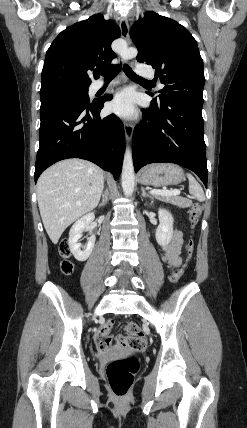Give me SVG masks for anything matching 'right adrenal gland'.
Masks as SVG:
<instances>
[{"label":"right adrenal gland","mask_w":247,"mask_h":428,"mask_svg":"<svg viewBox=\"0 0 247 428\" xmlns=\"http://www.w3.org/2000/svg\"><path fill=\"white\" fill-rule=\"evenodd\" d=\"M108 195H109V193H108V189H106L105 194L103 195V197H102V201H101V203H100V205H99V206H104V205H106V203H107V201H108Z\"/></svg>","instance_id":"obj_1"}]
</instances>
